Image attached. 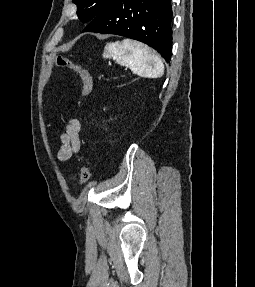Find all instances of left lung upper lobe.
I'll use <instances>...</instances> for the list:
<instances>
[{"instance_id":"obj_1","label":"left lung upper lobe","mask_w":255,"mask_h":287,"mask_svg":"<svg viewBox=\"0 0 255 287\" xmlns=\"http://www.w3.org/2000/svg\"><path fill=\"white\" fill-rule=\"evenodd\" d=\"M77 5V15L82 22H89L99 14L111 0H72Z\"/></svg>"}]
</instances>
